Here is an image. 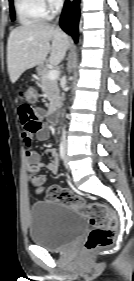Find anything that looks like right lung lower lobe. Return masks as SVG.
Masks as SVG:
<instances>
[{"label":"right lung lower lobe","instance_id":"1","mask_svg":"<svg viewBox=\"0 0 134 281\" xmlns=\"http://www.w3.org/2000/svg\"><path fill=\"white\" fill-rule=\"evenodd\" d=\"M79 2L80 0H74L70 3L66 0L60 19L62 29L70 34L75 42L78 41Z\"/></svg>","mask_w":134,"mask_h":281}]
</instances>
